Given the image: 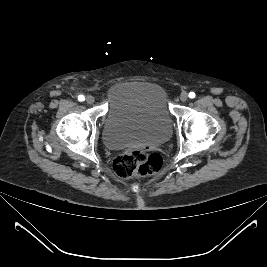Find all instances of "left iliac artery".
I'll list each match as a JSON object with an SVG mask.
<instances>
[{"mask_svg": "<svg viewBox=\"0 0 267 267\" xmlns=\"http://www.w3.org/2000/svg\"><path fill=\"white\" fill-rule=\"evenodd\" d=\"M189 97H190V98H194V97H195V93H194V92H190V93H189Z\"/></svg>", "mask_w": 267, "mask_h": 267, "instance_id": "1", "label": "left iliac artery"}]
</instances>
